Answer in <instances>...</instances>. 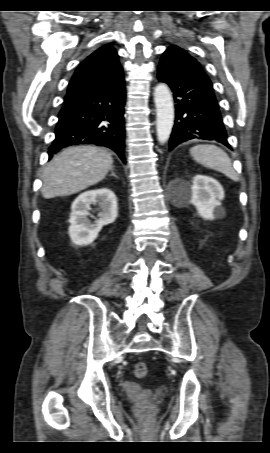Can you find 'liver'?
Instances as JSON below:
<instances>
[{
  "label": "liver",
  "instance_id": "obj_1",
  "mask_svg": "<svg viewBox=\"0 0 270 453\" xmlns=\"http://www.w3.org/2000/svg\"><path fill=\"white\" fill-rule=\"evenodd\" d=\"M112 164V156L105 149L95 146L67 148L45 167L42 196L51 199L77 193L103 180Z\"/></svg>",
  "mask_w": 270,
  "mask_h": 453
}]
</instances>
